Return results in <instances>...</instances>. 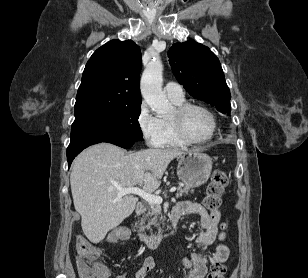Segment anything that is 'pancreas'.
<instances>
[{"instance_id": "pancreas-1", "label": "pancreas", "mask_w": 308, "mask_h": 278, "mask_svg": "<svg viewBox=\"0 0 308 278\" xmlns=\"http://www.w3.org/2000/svg\"><path fill=\"white\" fill-rule=\"evenodd\" d=\"M177 197H181L183 194H188L189 187H178L177 189ZM162 207L160 204H147L146 205V212L143 214L141 220H140V230L144 231L152 230V226H155L160 230V224L158 223V220H162Z\"/></svg>"}]
</instances>
